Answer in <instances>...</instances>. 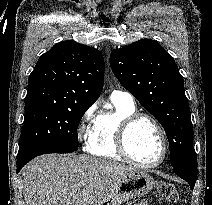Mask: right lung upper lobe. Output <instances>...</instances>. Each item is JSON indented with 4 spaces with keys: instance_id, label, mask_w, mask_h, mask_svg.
Listing matches in <instances>:
<instances>
[{
    "instance_id": "obj_1",
    "label": "right lung upper lobe",
    "mask_w": 212,
    "mask_h": 205,
    "mask_svg": "<svg viewBox=\"0 0 212 205\" xmlns=\"http://www.w3.org/2000/svg\"><path fill=\"white\" fill-rule=\"evenodd\" d=\"M104 82V59L93 47L64 41L42 54L29 76L25 104L91 106Z\"/></svg>"
}]
</instances>
